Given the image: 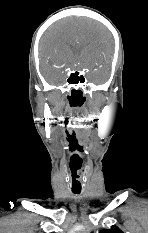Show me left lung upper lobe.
I'll return each instance as SVG.
<instances>
[{"label":"left lung upper lobe","instance_id":"obj_1","mask_svg":"<svg viewBox=\"0 0 148 233\" xmlns=\"http://www.w3.org/2000/svg\"><path fill=\"white\" fill-rule=\"evenodd\" d=\"M100 233H123L117 226H111V229H104Z\"/></svg>","mask_w":148,"mask_h":233}]
</instances>
